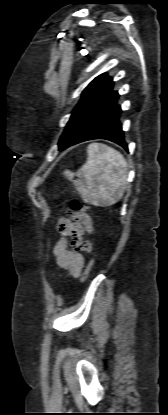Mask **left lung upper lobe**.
I'll use <instances>...</instances> for the list:
<instances>
[{"label": "left lung upper lobe", "instance_id": "5c2ea615", "mask_svg": "<svg viewBox=\"0 0 168 415\" xmlns=\"http://www.w3.org/2000/svg\"><path fill=\"white\" fill-rule=\"evenodd\" d=\"M113 84L112 78L103 73L85 88L60 138L58 144L60 151L74 145L95 117L118 97V93L112 89Z\"/></svg>", "mask_w": 168, "mask_h": 415}]
</instances>
